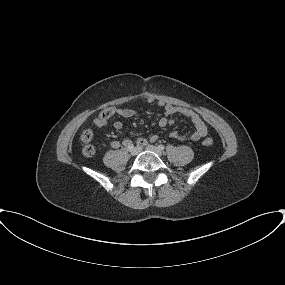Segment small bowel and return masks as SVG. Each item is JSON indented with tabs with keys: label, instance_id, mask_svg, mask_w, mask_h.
<instances>
[{
	"label": "small bowel",
	"instance_id": "1",
	"mask_svg": "<svg viewBox=\"0 0 285 285\" xmlns=\"http://www.w3.org/2000/svg\"><path fill=\"white\" fill-rule=\"evenodd\" d=\"M145 100L149 103H155L159 107L162 108L164 116L159 120L160 127L165 128V127L170 126L173 123V120L170 117L173 115L183 116L189 119L194 125L195 131L191 135H186V134L174 131V132H171L170 134L171 138L178 140V141H185V140L199 141L207 135V132H208L207 125L197 112L189 108H186V107L175 106L161 99H157L153 97H147ZM114 111L117 115L124 117V118H130L136 114L135 110L131 108H116ZM106 123H107V117L104 116V113L100 114L97 118H95L92 121V125L96 128H101L105 126ZM113 127L116 130H120L122 129L123 124L121 121H115L113 123ZM156 140H157L156 135H152L149 138L150 142H155ZM130 142L131 141L128 139H125L123 141L114 140L111 142V146L113 148H119L120 146H127ZM136 143L138 146L144 147L148 143V140L144 137H138L136 139Z\"/></svg>",
	"mask_w": 285,
	"mask_h": 285
}]
</instances>
